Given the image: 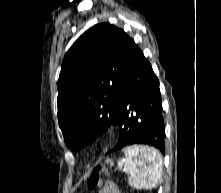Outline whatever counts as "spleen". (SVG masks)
I'll return each mask as SVG.
<instances>
[{"instance_id":"3e777b00","label":"spleen","mask_w":221,"mask_h":193,"mask_svg":"<svg viewBox=\"0 0 221 193\" xmlns=\"http://www.w3.org/2000/svg\"><path fill=\"white\" fill-rule=\"evenodd\" d=\"M123 170L130 175L128 183L136 189L155 188L162 177V157L147 146H125Z\"/></svg>"}]
</instances>
